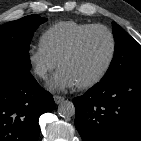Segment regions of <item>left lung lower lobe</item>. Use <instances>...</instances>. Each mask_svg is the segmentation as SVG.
<instances>
[{
	"label": "left lung lower lobe",
	"instance_id": "0a47b994",
	"mask_svg": "<svg viewBox=\"0 0 141 141\" xmlns=\"http://www.w3.org/2000/svg\"><path fill=\"white\" fill-rule=\"evenodd\" d=\"M73 103L83 141L141 139V71L100 81Z\"/></svg>",
	"mask_w": 141,
	"mask_h": 141
}]
</instances>
